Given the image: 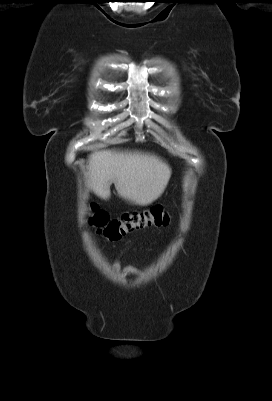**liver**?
Listing matches in <instances>:
<instances>
[{
    "label": "liver",
    "mask_w": 272,
    "mask_h": 401,
    "mask_svg": "<svg viewBox=\"0 0 272 401\" xmlns=\"http://www.w3.org/2000/svg\"><path fill=\"white\" fill-rule=\"evenodd\" d=\"M171 168L155 155L138 151L99 150L89 156L88 185L102 199L118 194L135 204L148 205L164 192Z\"/></svg>",
    "instance_id": "obj_1"
}]
</instances>
